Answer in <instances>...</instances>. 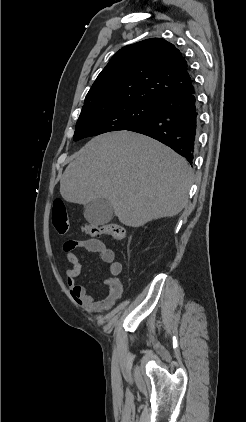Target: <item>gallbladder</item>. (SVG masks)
<instances>
[{"instance_id": "obj_1", "label": "gallbladder", "mask_w": 246, "mask_h": 422, "mask_svg": "<svg viewBox=\"0 0 246 422\" xmlns=\"http://www.w3.org/2000/svg\"><path fill=\"white\" fill-rule=\"evenodd\" d=\"M113 208L103 198L89 202L85 207V219L93 225H104L113 218Z\"/></svg>"}]
</instances>
